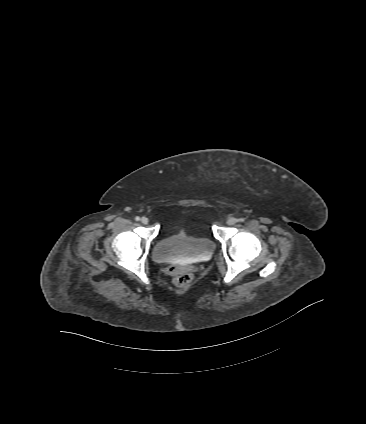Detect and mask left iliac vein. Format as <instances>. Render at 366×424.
Returning a JSON list of instances; mask_svg holds the SVG:
<instances>
[{
  "instance_id": "1",
  "label": "left iliac vein",
  "mask_w": 366,
  "mask_h": 424,
  "mask_svg": "<svg viewBox=\"0 0 366 424\" xmlns=\"http://www.w3.org/2000/svg\"><path fill=\"white\" fill-rule=\"evenodd\" d=\"M236 222H237V220L233 217H231L227 220L228 225H234Z\"/></svg>"
}]
</instances>
